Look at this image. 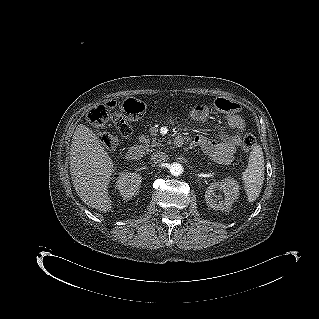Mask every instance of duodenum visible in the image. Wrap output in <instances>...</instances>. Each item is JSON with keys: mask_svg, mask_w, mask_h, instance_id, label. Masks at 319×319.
<instances>
[{"mask_svg": "<svg viewBox=\"0 0 319 319\" xmlns=\"http://www.w3.org/2000/svg\"><path fill=\"white\" fill-rule=\"evenodd\" d=\"M185 138L182 135H177L175 138V144L177 146L183 145ZM142 156V152L138 146H132L127 151L126 157L130 160H137Z\"/></svg>", "mask_w": 319, "mask_h": 319, "instance_id": "1", "label": "duodenum"}]
</instances>
